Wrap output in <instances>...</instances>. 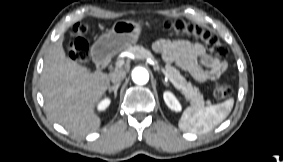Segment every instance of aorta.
<instances>
[{
	"label": "aorta",
	"instance_id": "762f6f07",
	"mask_svg": "<svg viewBox=\"0 0 283 162\" xmlns=\"http://www.w3.org/2000/svg\"><path fill=\"white\" fill-rule=\"evenodd\" d=\"M132 79L136 84L144 85L149 81V73L143 67H136L132 71Z\"/></svg>",
	"mask_w": 283,
	"mask_h": 162
}]
</instances>
